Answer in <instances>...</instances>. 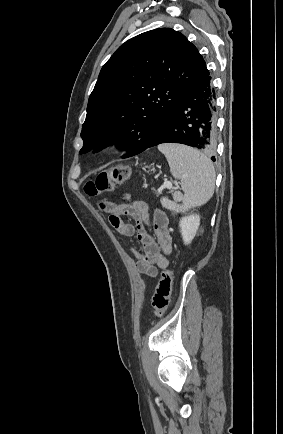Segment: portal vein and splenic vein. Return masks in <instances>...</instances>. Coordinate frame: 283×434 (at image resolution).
I'll return each instance as SVG.
<instances>
[{
    "mask_svg": "<svg viewBox=\"0 0 283 434\" xmlns=\"http://www.w3.org/2000/svg\"><path fill=\"white\" fill-rule=\"evenodd\" d=\"M163 186H164L165 188L171 189V188H172V183H171V182H167V181H165L164 184H163Z\"/></svg>",
    "mask_w": 283,
    "mask_h": 434,
    "instance_id": "1",
    "label": "portal vein and splenic vein"
}]
</instances>
